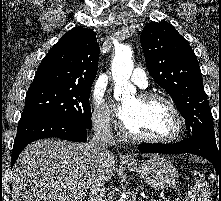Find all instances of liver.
<instances>
[{
  "label": "liver",
  "mask_w": 221,
  "mask_h": 201,
  "mask_svg": "<svg viewBox=\"0 0 221 201\" xmlns=\"http://www.w3.org/2000/svg\"><path fill=\"white\" fill-rule=\"evenodd\" d=\"M89 145L56 139L28 145L13 168L12 201H83L97 172ZM114 169L110 152L105 181Z\"/></svg>",
  "instance_id": "obj_1"
}]
</instances>
